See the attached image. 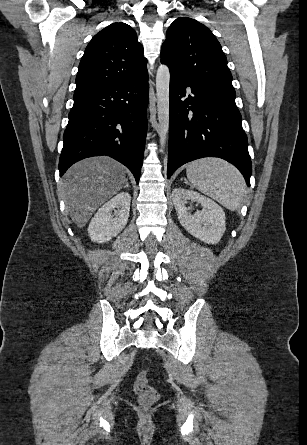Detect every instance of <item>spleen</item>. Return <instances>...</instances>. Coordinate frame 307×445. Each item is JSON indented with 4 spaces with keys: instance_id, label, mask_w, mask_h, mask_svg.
<instances>
[{
    "instance_id": "obj_1",
    "label": "spleen",
    "mask_w": 307,
    "mask_h": 445,
    "mask_svg": "<svg viewBox=\"0 0 307 445\" xmlns=\"http://www.w3.org/2000/svg\"><path fill=\"white\" fill-rule=\"evenodd\" d=\"M191 186L211 196L225 208L237 210L245 194V180L236 166L222 158H199L186 168Z\"/></svg>"
}]
</instances>
